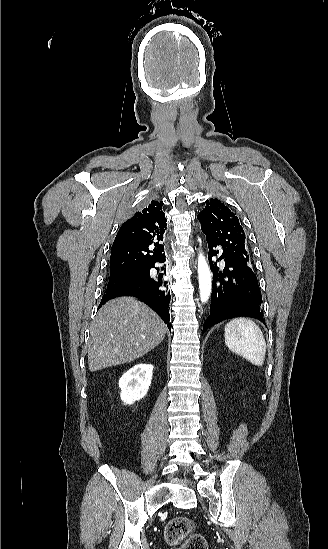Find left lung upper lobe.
<instances>
[{
	"label": "left lung upper lobe",
	"instance_id": "5c2ea615",
	"mask_svg": "<svg viewBox=\"0 0 328 549\" xmlns=\"http://www.w3.org/2000/svg\"><path fill=\"white\" fill-rule=\"evenodd\" d=\"M197 217L208 244L214 247L220 245L226 255L249 265L244 230L236 215L227 206L218 199L207 200L206 207Z\"/></svg>",
	"mask_w": 328,
	"mask_h": 549
}]
</instances>
